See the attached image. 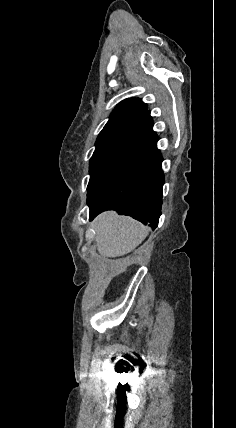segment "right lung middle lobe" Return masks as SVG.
Returning <instances> with one entry per match:
<instances>
[{"mask_svg": "<svg viewBox=\"0 0 236 428\" xmlns=\"http://www.w3.org/2000/svg\"><path fill=\"white\" fill-rule=\"evenodd\" d=\"M145 148L144 143H131L94 153L90 159L87 204L105 194L130 169Z\"/></svg>", "mask_w": 236, "mask_h": 428, "instance_id": "right-lung-middle-lobe-1", "label": "right lung middle lobe"}]
</instances>
